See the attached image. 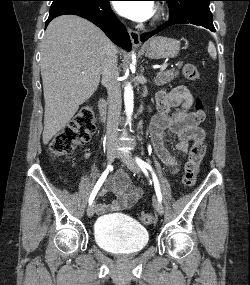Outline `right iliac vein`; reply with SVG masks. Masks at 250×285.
I'll return each instance as SVG.
<instances>
[{
	"instance_id": "right-iliac-vein-1",
	"label": "right iliac vein",
	"mask_w": 250,
	"mask_h": 285,
	"mask_svg": "<svg viewBox=\"0 0 250 285\" xmlns=\"http://www.w3.org/2000/svg\"><path fill=\"white\" fill-rule=\"evenodd\" d=\"M116 156V149L114 147H110L107 149V164H111ZM95 212V202H92L88 209H87V215L88 217H92Z\"/></svg>"
}]
</instances>
